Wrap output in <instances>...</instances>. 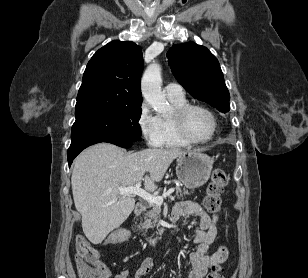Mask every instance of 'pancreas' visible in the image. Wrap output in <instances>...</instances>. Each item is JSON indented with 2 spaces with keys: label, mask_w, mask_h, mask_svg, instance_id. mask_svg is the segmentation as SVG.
<instances>
[{
  "label": "pancreas",
  "mask_w": 308,
  "mask_h": 278,
  "mask_svg": "<svg viewBox=\"0 0 308 278\" xmlns=\"http://www.w3.org/2000/svg\"><path fill=\"white\" fill-rule=\"evenodd\" d=\"M187 194H189V192L185 188L182 189L180 186L176 187L177 198H181ZM145 208L149 210L144 213V217L139 225V229L142 231H147L150 228L159 227V224L157 222L161 213V207L154 203H147L145 205Z\"/></svg>",
  "instance_id": "pancreas-1"
}]
</instances>
